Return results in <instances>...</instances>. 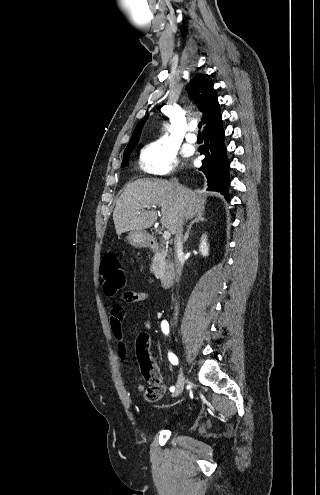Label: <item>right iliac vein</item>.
I'll return each instance as SVG.
<instances>
[{
    "label": "right iliac vein",
    "mask_w": 320,
    "mask_h": 495,
    "mask_svg": "<svg viewBox=\"0 0 320 495\" xmlns=\"http://www.w3.org/2000/svg\"><path fill=\"white\" fill-rule=\"evenodd\" d=\"M184 383H185V377H184L183 372L181 371L179 374V377H178V381H177L176 386H175V390L172 394L173 397H177L182 393L183 388H184Z\"/></svg>",
    "instance_id": "63e3f726"
}]
</instances>
